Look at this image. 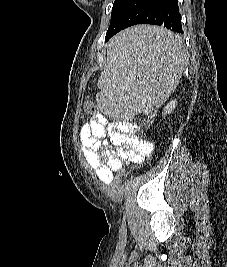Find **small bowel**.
Returning <instances> with one entry per match:
<instances>
[{"label":"small bowel","mask_w":227,"mask_h":267,"mask_svg":"<svg viewBox=\"0 0 227 267\" xmlns=\"http://www.w3.org/2000/svg\"><path fill=\"white\" fill-rule=\"evenodd\" d=\"M138 131L139 126L130 122H118L107 130L105 119L99 115L83 124L81 150L87 164L103 184L111 183L113 172L121 169L124 161L134 158L135 164H138L152 154V144L139 137ZM109 143L115 146L114 150L108 149Z\"/></svg>","instance_id":"c3829d8e"}]
</instances>
